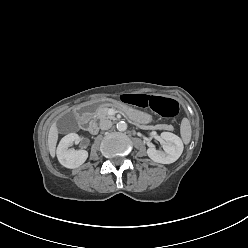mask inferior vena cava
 Instances as JSON below:
<instances>
[{"instance_id": "obj_1", "label": "inferior vena cava", "mask_w": 248, "mask_h": 248, "mask_svg": "<svg viewBox=\"0 0 248 248\" xmlns=\"http://www.w3.org/2000/svg\"><path fill=\"white\" fill-rule=\"evenodd\" d=\"M112 127V122L110 120H102L100 122V129L101 130H108Z\"/></svg>"}]
</instances>
